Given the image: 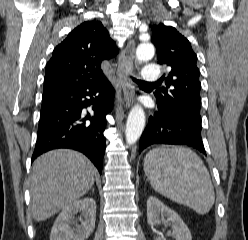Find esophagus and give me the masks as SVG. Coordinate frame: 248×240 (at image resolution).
Listing matches in <instances>:
<instances>
[{"mask_svg": "<svg viewBox=\"0 0 248 240\" xmlns=\"http://www.w3.org/2000/svg\"><path fill=\"white\" fill-rule=\"evenodd\" d=\"M135 47L134 40L130 39L121 52L118 60L117 76L125 107H130L134 95L130 72L133 65Z\"/></svg>", "mask_w": 248, "mask_h": 240, "instance_id": "34e87169", "label": "esophagus"}]
</instances>
